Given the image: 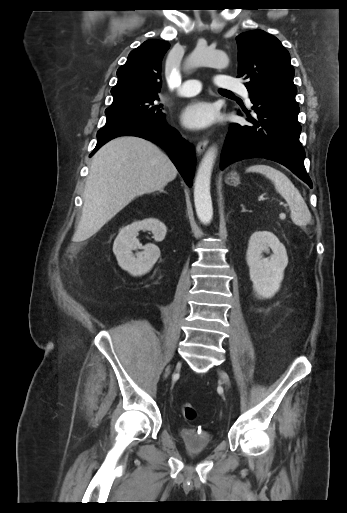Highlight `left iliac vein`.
I'll return each mask as SVG.
<instances>
[{"instance_id":"4c4485c4","label":"left iliac vein","mask_w":347,"mask_h":513,"mask_svg":"<svg viewBox=\"0 0 347 513\" xmlns=\"http://www.w3.org/2000/svg\"><path fill=\"white\" fill-rule=\"evenodd\" d=\"M219 376H220L222 382L226 385V387L229 388L230 387V379H229L228 374L224 371H219Z\"/></svg>"}]
</instances>
